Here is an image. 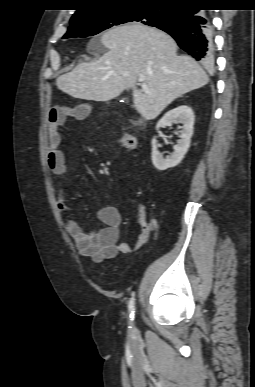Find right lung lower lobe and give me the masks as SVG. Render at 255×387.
<instances>
[{
  "instance_id": "right-lung-lower-lobe-1",
  "label": "right lung lower lobe",
  "mask_w": 255,
  "mask_h": 387,
  "mask_svg": "<svg viewBox=\"0 0 255 387\" xmlns=\"http://www.w3.org/2000/svg\"><path fill=\"white\" fill-rule=\"evenodd\" d=\"M157 28L170 34L197 61L213 63L211 19L206 11L199 9V4L174 7L168 22Z\"/></svg>"
}]
</instances>
